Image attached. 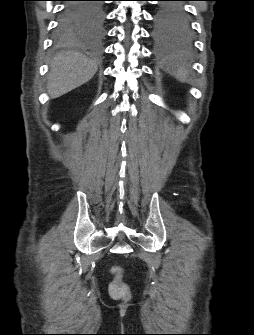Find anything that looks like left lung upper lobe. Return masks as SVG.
<instances>
[{
	"label": "left lung upper lobe",
	"mask_w": 254,
	"mask_h": 335,
	"mask_svg": "<svg viewBox=\"0 0 254 335\" xmlns=\"http://www.w3.org/2000/svg\"><path fill=\"white\" fill-rule=\"evenodd\" d=\"M161 4L155 16L156 33L158 36H170L184 33L189 29L190 23L187 11L179 1L160 0Z\"/></svg>",
	"instance_id": "5c2ea615"
}]
</instances>
